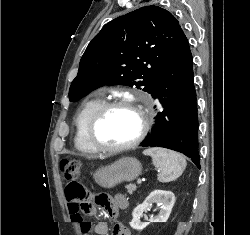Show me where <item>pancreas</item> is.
Returning a JSON list of instances; mask_svg holds the SVG:
<instances>
[{"mask_svg": "<svg viewBox=\"0 0 250 235\" xmlns=\"http://www.w3.org/2000/svg\"><path fill=\"white\" fill-rule=\"evenodd\" d=\"M126 188H127L128 193L132 194L136 190L137 187L135 184H129L126 186Z\"/></svg>", "mask_w": 250, "mask_h": 235, "instance_id": "obj_1", "label": "pancreas"}]
</instances>
